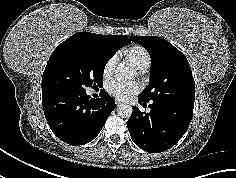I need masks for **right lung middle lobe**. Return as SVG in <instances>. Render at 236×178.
<instances>
[{
	"instance_id": "right-lung-middle-lobe-1",
	"label": "right lung middle lobe",
	"mask_w": 236,
	"mask_h": 178,
	"mask_svg": "<svg viewBox=\"0 0 236 178\" xmlns=\"http://www.w3.org/2000/svg\"><path fill=\"white\" fill-rule=\"evenodd\" d=\"M117 50L106 46L71 44L50 56L42 76V93L85 92L102 83L106 63Z\"/></svg>"
}]
</instances>
